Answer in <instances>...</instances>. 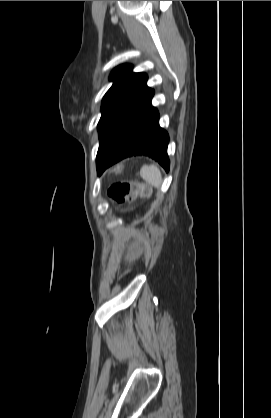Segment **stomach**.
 Returning <instances> with one entry per match:
<instances>
[{
	"instance_id": "obj_1",
	"label": "stomach",
	"mask_w": 271,
	"mask_h": 418,
	"mask_svg": "<svg viewBox=\"0 0 271 418\" xmlns=\"http://www.w3.org/2000/svg\"><path fill=\"white\" fill-rule=\"evenodd\" d=\"M123 167L122 166H117L114 168L113 172L116 174H119L122 172Z\"/></svg>"
}]
</instances>
